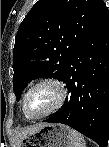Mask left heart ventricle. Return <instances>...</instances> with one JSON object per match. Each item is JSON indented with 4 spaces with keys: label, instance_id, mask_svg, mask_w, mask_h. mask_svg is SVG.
Returning a JSON list of instances; mask_svg holds the SVG:
<instances>
[{
    "label": "left heart ventricle",
    "instance_id": "obj_1",
    "mask_svg": "<svg viewBox=\"0 0 109 147\" xmlns=\"http://www.w3.org/2000/svg\"><path fill=\"white\" fill-rule=\"evenodd\" d=\"M58 98V91L50 85L41 86L35 89L27 100L28 110L39 115L50 109Z\"/></svg>",
    "mask_w": 109,
    "mask_h": 147
}]
</instances>
